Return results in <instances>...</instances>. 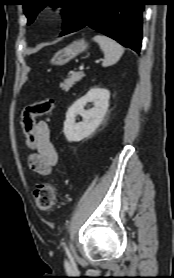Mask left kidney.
Wrapping results in <instances>:
<instances>
[{
    "instance_id": "1",
    "label": "left kidney",
    "mask_w": 174,
    "mask_h": 278,
    "mask_svg": "<svg viewBox=\"0 0 174 278\" xmlns=\"http://www.w3.org/2000/svg\"><path fill=\"white\" fill-rule=\"evenodd\" d=\"M110 92L107 89L92 88L86 95L74 102L66 113L63 132L69 142H79L89 137L101 124L109 107ZM93 102L94 107L85 110L87 103ZM80 115L82 122L76 123Z\"/></svg>"
}]
</instances>
